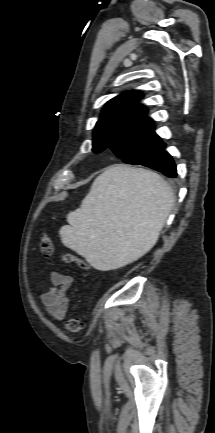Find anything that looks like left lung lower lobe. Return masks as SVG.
Masks as SVG:
<instances>
[{"label": "left lung lower lobe", "instance_id": "1", "mask_svg": "<svg viewBox=\"0 0 215 433\" xmlns=\"http://www.w3.org/2000/svg\"><path fill=\"white\" fill-rule=\"evenodd\" d=\"M167 177L174 178L177 176L176 164L171 155L164 150L163 158L160 165L155 169Z\"/></svg>", "mask_w": 215, "mask_h": 433}]
</instances>
